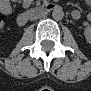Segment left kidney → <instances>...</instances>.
Listing matches in <instances>:
<instances>
[{
  "label": "left kidney",
  "instance_id": "1",
  "mask_svg": "<svg viewBox=\"0 0 91 91\" xmlns=\"http://www.w3.org/2000/svg\"><path fill=\"white\" fill-rule=\"evenodd\" d=\"M84 34H85V38H86L87 42L90 43L91 42V28L87 27L85 29Z\"/></svg>",
  "mask_w": 91,
  "mask_h": 91
}]
</instances>
